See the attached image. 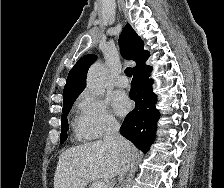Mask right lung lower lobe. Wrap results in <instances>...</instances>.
Instances as JSON below:
<instances>
[{"mask_svg":"<svg viewBox=\"0 0 224 188\" xmlns=\"http://www.w3.org/2000/svg\"><path fill=\"white\" fill-rule=\"evenodd\" d=\"M151 66H144L133 72L130 98L135 101V108L125 118L120 133L136 147L146 152L156 137V122L159 112L155 108L156 95L153 93L149 74Z\"/></svg>","mask_w":224,"mask_h":188,"instance_id":"right-lung-lower-lobe-1","label":"right lung lower lobe"}]
</instances>
